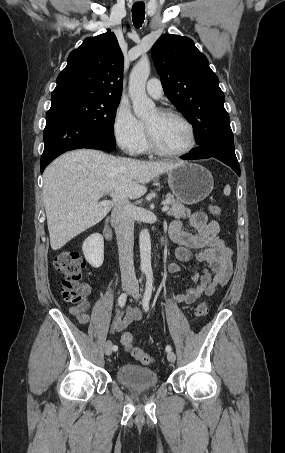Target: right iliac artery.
I'll return each instance as SVG.
<instances>
[{
  "label": "right iliac artery",
  "instance_id": "obj_1",
  "mask_svg": "<svg viewBox=\"0 0 285 453\" xmlns=\"http://www.w3.org/2000/svg\"><path fill=\"white\" fill-rule=\"evenodd\" d=\"M139 281L141 282V281H142V278H141ZM126 300H127V293L121 294V295L119 296V298H118V304H119V306H120V307H123V306L125 305V303H126ZM117 348H118V347H117L116 345H114V346L112 347V349L115 350V351L117 350Z\"/></svg>",
  "mask_w": 285,
  "mask_h": 453
}]
</instances>
